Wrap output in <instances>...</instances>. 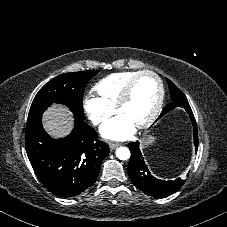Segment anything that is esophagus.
<instances>
[{"label":"esophagus","mask_w":227,"mask_h":227,"mask_svg":"<svg viewBox=\"0 0 227 227\" xmlns=\"http://www.w3.org/2000/svg\"><path fill=\"white\" fill-rule=\"evenodd\" d=\"M118 146H119L118 143H112V142L109 143V147H110V149H112V150L116 149Z\"/></svg>","instance_id":"34e87169"}]
</instances>
